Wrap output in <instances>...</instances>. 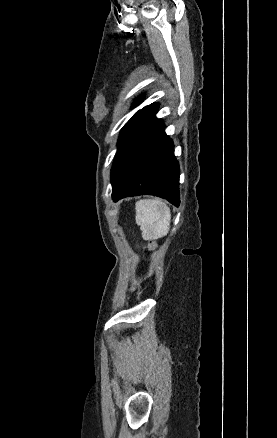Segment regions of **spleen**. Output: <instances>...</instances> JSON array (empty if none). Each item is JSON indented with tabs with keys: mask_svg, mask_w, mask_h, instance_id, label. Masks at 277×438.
Instances as JSON below:
<instances>
[{
	"mask_svg": "<svg viewBox=\"0 0 277 438\" xmlns=\"http://www.w3.org/2000/svg\"><path fill=\"white\" fill-rule=\"evenodd\" d=\"M136 224L140 226L144 240H158L167 236L171 220L170 210L162 200L136 202Z\"/></svg>",
	"mask_w": 277,
	"mask_h": 438,
	"instance_id": "spleen-1",
	"label": "spleen"
}]
</instances>
